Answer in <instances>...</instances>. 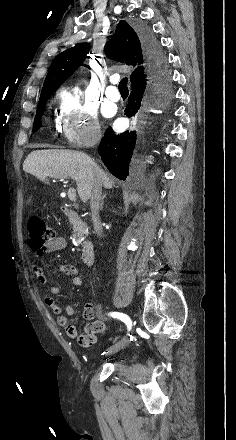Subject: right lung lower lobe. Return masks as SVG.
I'll return each instance as SVG.
<instances>
[{"instance_id":"obj_1","label":"right lung lower lobe","mask_w":236,"mask_h":440,"mask_svg":"<svg viewBox=\"0 0 236 440\" xmlns=\"http://www.w3.org/2000/svg\"><path fill=\"white\" fill-rule=\"evenodd\" d=\"M140 39L147 62L149 79L131 87L128 106L125 109L127 117L134 116L148 102L152 101L153 92L170 83V73L166 56L162 48L148 28L139 29ZM152 80V84L148 81ZM136 131H125L122 134H114L108 128L99 146V153L103 163L109 171L121 180H125L129 174V163L136 143Z\"/></svg>"}]
</instances>
